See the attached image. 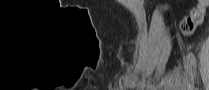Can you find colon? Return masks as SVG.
Returning a JSON list of instances; mask_svg holds the SVG:
<instances>
[{
	"mask_svg": "<svg viewBox=\"0 0 209 90\" xmlns=\"http://www.w3.org/2000/svg\"><path fill=\"white\" fill-rule=\"evenodd\" d=\"M208 8L209 0H200L189 15L180 22L179 29L184 36L191 35L196 27L203 23Z\"/></svg>",
	"mask_w": 209,
	"mask_h": 90,
	"instance_id": "5ec220e1",
	"label": "colon"
}]
</instances>
